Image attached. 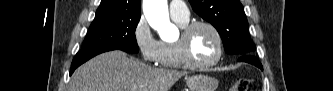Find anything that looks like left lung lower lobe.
I'll use <instances>...</instances> for the list:
<instances>
[{
  "label": "left lung lower lobe",
  "mask_w": 333,
  "mask_h": 91,
  "mask_svg": "<svg viewBox=\"0 0 333 91\" xmlns=\"http://www.w3.org/2000/svg\"><path fill=\"white\" fill-rule=\"evenodd\" d=\"M238 61L251 63V64L259 67L260 69H263L261 63L257 60L256 57L253 56V54L240 55L238 58Z\"/></svg>",
  "instance_id": "0a47b994"
}]
</instances>
